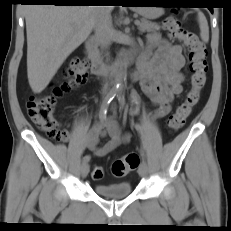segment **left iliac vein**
<instances>
[{
	"label": "left iliac vein",
	"instance_id": "1",
	"mask_svg": "<svg viewBox=\"0 0 231 231\" xmlns=\"http://www.w3.org/2000/svg\"><path fill=\"white\" fill-rule=\"evenodd\" d=\"M139 175L143 178L147 177L148 175V165L146 162H141L139 169H138Z\"/></svg>",
	"mask_w": 231,
	"mask_h": 231
}]
</instances>
